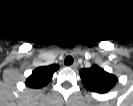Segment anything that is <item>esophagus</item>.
<instances>
[{"instance_id":"34e87169","label":"esophagus","mask_w":133,"mask_h":106,"mask_svg":"<svg viewBox=\"0 0 133 106\" xmlns=\"http://www.w3.org/2000/svg\"><path fill=\"white\" fill-rule=\"evenodd\" d=\"M77 66H78L77 62H74L72 65H70V67H71L72 69H76Z\"/></svg>"}]
</instances>
